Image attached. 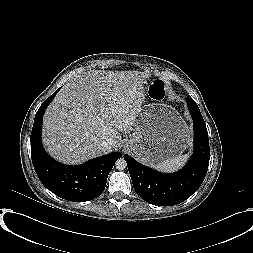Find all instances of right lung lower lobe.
<instances>
[{"label": "right lung lower lobe", "mask_w": 253, "mask_h": 253, "mask_svg": "<svg viewBox=\"0 0 253 253\" xmlns=\"http://www.w3.org/2000/svg\"><path fill=\"white\" fill-rule=\"evenodd\" d=\"M59 90L42 103L35 115L31 132L32 163L38 178L51 192L69 201H89L102 194L108 174L122 154L113 152L79 166H68L55 161L45 152L41 142L42 119Z\"/></svg>", "instance_id": "obj_1"}]
</instances>
